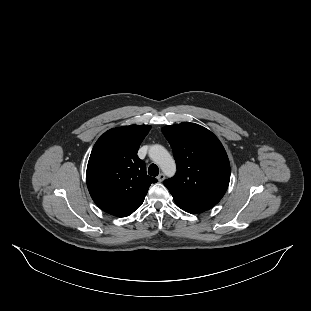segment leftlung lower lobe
<instances>
[{
    "instance_id": "obj_1",
    "label": "left lung lower lobe",
    "mask_w": 311,
    "mask_h": 311,
    "mask_svg": "<svg viewBox=\"0 0 311 311\" xmlns=\"http://www.w3.org/2000/svg\"><path fill=\"white\" fill-rule=\"evenodd\" d=\"M175 203L184 211L189 212V213H201L204 212L208 209H210L209 207H205V206H200V205H195V204H191V203H187L179 198L173 197Z\"/></svg>"
}]
</instances>
